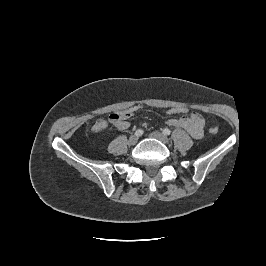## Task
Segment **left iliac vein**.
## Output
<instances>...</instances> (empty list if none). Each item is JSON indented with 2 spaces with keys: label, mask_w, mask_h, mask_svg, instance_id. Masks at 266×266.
I'll use <instances>...</instances> for the list:
<instances>
[{
  "label": "left iliac vein",
  "mask_w": 266,
  "mask_h": 266,
  "mask_svg": "<svg viewBox=\"0 0 266 266\" xmlns=\"http://www.w3.org/2000/svg\"><path fill=\"white\" fill-rule=\"evenodd\" d=\"M150 136H151L152 138H155V139L160 140L161 142H163V143H165V144L169 143V138H168L166 135H164V134H162V133H160V132H158V131H154V132H152V133L150 134Z\"/></svg>",
  "instance_id": "4c4485c4"
}]
</instances>
